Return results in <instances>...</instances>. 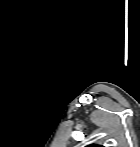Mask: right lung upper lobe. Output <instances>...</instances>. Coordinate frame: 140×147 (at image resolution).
<instances>
[{
	"label": "right lung upper lobe",
	"mask_w": 140,
	"mask_h": 147,
	"mask_svg": "<svg viewBox=\"0 0 140 147\" xmlns=\"http://www.w3.org/2000/svg\"><path fill=\"white\" fill-rule=\"evenodd\" d=\"M89 147H97L96 145H90Z\"/></svg>",
	"instance_id": "right-lung-upper-lobe-1"
}]
</instances>
